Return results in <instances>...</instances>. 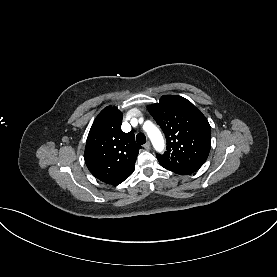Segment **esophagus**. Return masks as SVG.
<instances>
[{
    "label": "esophagus",
    "mask_w": 277,
    "mask_h": 277,
    "mask_svg": "<svg viewBox=\"0 0 277 277\" xmlns=\"http://www.w3.org/2000/svg\"><path fill=\"white\" fill-rule=\"evenodd\" d=\"M143 147H144L146 150H149V149L151 148L150 142L147 141V142L143 145Z\"/></svg>",
    "instance_id": "34e87169"
}]
</instances>
